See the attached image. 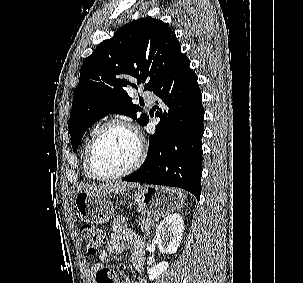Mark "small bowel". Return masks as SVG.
<instances>
[{"label":"small bowel","instance_id":"small-bowel-1","mask_svg":"<svg viewBox=\"0 0 303 283\" xmlns=\"http://www.w3.org/2000/svg\"><path fill=\"white\" fill-rule=\"evenodd\" d=\"M127 243L132 247L130 263L134 268L139 270L143 263L144 242L127 226L123 217H116L114 219L111 237L107 243L106 249L99 253V259L101 261H106L112 254H121L125 250ZM102 268L103 265L97 263L92 266L91 272L96 277L97 272ZM123 283H132V281L129 278H124ZM138 283L144 282L140 281Z\"/></svg>","mask_w":303,"mask_h":283}]
</instances>
